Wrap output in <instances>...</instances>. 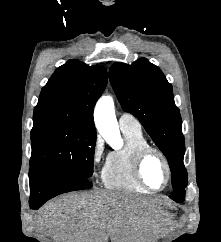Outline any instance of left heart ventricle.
<instances>
[{"instance_id":"1","label":"left heart ventricle","mask_w":221,"mask_h":242,"mask_svg":"<svg viewBox=\"0 0 221 242\" xmlns=\"http://www.w3.org/2000/svg\"><path fill=\"white\" fill-rule=\"evenodd\" d=\"M143 175L153 188H161L166 182V170L162 160L157 155H151L143 165Z\"/></svg>"}]
</instances>
